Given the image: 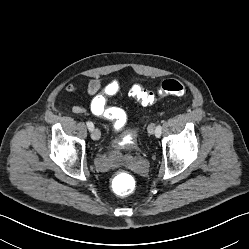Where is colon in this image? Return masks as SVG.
Here are the masks:
<instances>
[{
    "mask_svg": "<svg viewBox=\"0 0 249 249\" xmlns=\"http://www.w3.org/2000/svg\"><path fill=\"white\" fill-rule=\"evenodd\" d=\"M117 87L112 90L116 93ZM186 92L184 83L176 79H166L161 82L156 92L148 90L139 83H134L130 88V95L142 105H152L159 97L163 96H183ZM126 121V120H125ZM125 121H116V128H121ZM113 190L120 196H126L133 190L131 177L126 172H120L113 182Z\"/></svg>",
    "mask_w": 249,
    "mask_h": 249,
    "instance_id": "1",
    "label": "colon"
}]
</instances>
